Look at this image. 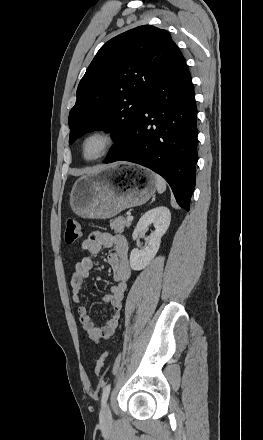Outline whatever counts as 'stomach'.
Wrapping results in <instances>:
<instances>
[{
    "label": "stomach",
    "mask_w": 263,
    "mask_h": 440,
    "mask_svg": "<svg viewBox=\"0 0 263 440\" xmlns=\"http://www.w3.org/2000/svg\"><path fill=\"white\" fill-rule=\"evenodd\" d=\"M156 189L155 174L149 169L105 166L75 181L70 206L83 218L108 219L127 208L143 205Z\"/></svg>",
    "instance_id": "stomach-1"
}]
</instances>
